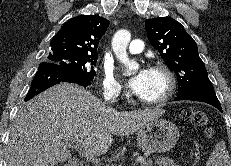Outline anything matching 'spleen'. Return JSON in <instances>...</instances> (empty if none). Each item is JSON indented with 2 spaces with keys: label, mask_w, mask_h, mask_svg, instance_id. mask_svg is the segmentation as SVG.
Here are the masks:
<instances>
[{
  "label": "spleen",
  "mask_w": 231,
  "mask_h": 166,
  "mask_svg": "<svg viewBox=\"0 0 231 166\" xmlns=\"http://www.w3.org/2000/svg\"><path fill=\"white\" fill-rule=\"evenodd\" d=\"M206 166H231V159L224 141H220L215 145Z\"/></svg>",
  "instance_id": "spleen-1"
}]
</instances>
